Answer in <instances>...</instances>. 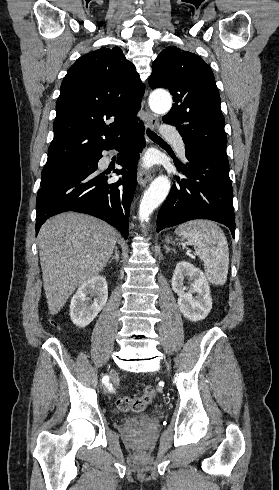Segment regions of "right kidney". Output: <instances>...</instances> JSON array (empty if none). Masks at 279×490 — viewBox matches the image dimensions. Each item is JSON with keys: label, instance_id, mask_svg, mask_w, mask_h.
<instances>
[{"label": "right kidney", "instance_id": "1", "mask_svg": "<svg viewBox=\"0 0 279 490\" xmlns=\"http://www.w3.org/2000/svg\"><path fill=\"white\" fill-rule=\"evenodd\" d=\"M89 294L95 296L91 306L85 304ZM108 300V286L104 276H91L81 284L70 304V318L75 326L85 328L93 322Z\"/></svg>", "mask_w": 279, "mask_h": 490}]
</instances>
